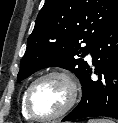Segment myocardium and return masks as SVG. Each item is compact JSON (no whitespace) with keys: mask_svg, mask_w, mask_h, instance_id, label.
Returning a JSON list of instances; mask_svg holds the SVG:
<instances>
[{"mask_svg":"<svg viewBox=\"0 0 118 123\" xmlns=\"http://www.w3.org/2000/svg\"><path fill=\"white\" fill-rule=\"evenodd\" d=\"M50 77H59L63 79L69 86L70 97L67 104L58 113L51 116H40V115H37L33 110L32 103H31L32 92L40 82ZM78 95H79V84L76 77L72 73L66 70L55 69V70H51L42 74L29 85L25 94V107H26L27 113L30 115L32 119L37 121H43V122L53 121L63 117L73 108V106L75 105L78 99Z\"/></svg>","mask_w":118,"mask_h":123,"instance_id":"1","label":"myocardium"}]
</instances>
